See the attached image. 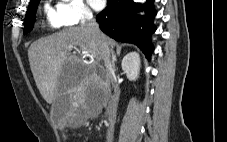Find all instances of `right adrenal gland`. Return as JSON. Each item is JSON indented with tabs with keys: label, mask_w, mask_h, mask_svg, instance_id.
I'll return each mask as SVG.
<instances>
[{
	"label": "right adrenal gland",
	"mask_w": 227,
	"mask_h": 142,
	"mask_svg": "<svg viewBox=\"0 0 227 142\" xmlns=\"http://www.w3.org/2000/svg\"><path fill=\"white\" fill-rule=\"evenodd\" d=\"M117 61V57L114 53V51H112V64H113V67L115 68V62Z\"/></svg>",
	"instance_id": "2a0ac1e0"
}]
</instances>
